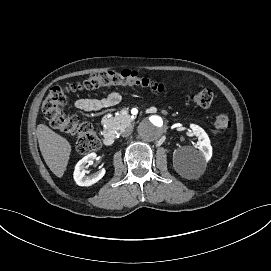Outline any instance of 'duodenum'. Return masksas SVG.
<instances>
[{"mask_svg": "<svg viewBox=\"0 0 271 271\" xmlns=\"http://www.w3.org/2000/svg\"><path fill=\"white\" fill-rule=\"evenodd\" d=\"M114 141H115V138H114L113 133L107 132V133H105L103 135V143H104V145L111 146V145H113Z\"/></svg>", "mask_w": 271, "mask_h": 271, "instance_id": "410a0bca", "label": "duodenum"}]
</instances>
